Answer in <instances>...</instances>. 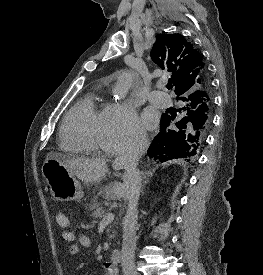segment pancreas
I'll use <instances>...</instances> for the list:
<instances>
[{"instance_id":"obj_1","label":"pancreas","mask_w":263,"mask_h":275,"mask_svg":"<svg viewBox=\"0 0 263 275\" xmlns=\"http://www.w3.org/2000/svg\"><path fill=\"white\" fill-rule=\"evenodd\" d=\"M89 208L90 210H93L91 216L96 219L102 218L106 213V209L102 208L96 199L89 205ZM115 233L116 232H113V235H111L110 238H114Z\"/></svg>"}]
</instances>
